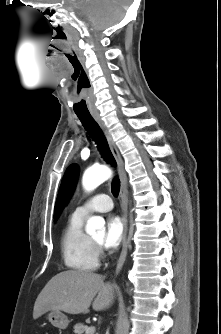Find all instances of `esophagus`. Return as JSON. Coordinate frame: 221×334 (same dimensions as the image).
Segmentation results:
<instances>
[{
  "label": "esophagus",
  "mask_w": 221,
  "mask_h": 334,
  "mask_svg": "<svg viewBox=\"0 0 221 334\" xmlns=\"http://www.w3.org/2000/svg\"><path fill=\"white\" fill-rule=\"evenodd\" d=\"M93 118L96 120L102 131L104 132V135L107 139L110 151L116 161L117 164V170L120 177V199H121V220L124 227V233H123V241H122V250L117 262L116 266V274L120 272L122 269V266L125 262L126 256H127V250H128V199H127V174L124 168V161L121 157V154L115 144V142L112 139V136L110 132L108 131L107 127L105 126L104 122L102 121L101 117L99 115H93Z\"/></svg>",
  "instance_id": "esophagus-1"
}]
</instances>
